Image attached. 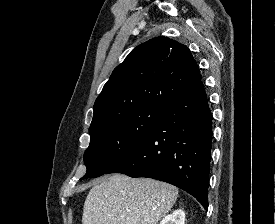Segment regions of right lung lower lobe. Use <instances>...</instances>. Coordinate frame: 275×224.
Segmentation results:
<instances>
[{"label":"right lung lower lobe","mask_w":275,"mask_h":224,"mask_svg":"<svg viewBox=\"0 0 275 224\" xmlns=\"http://www.w3.org/2000/svg\"><path fill=\"white\" fill-rule=\"evenodd\" d=\"M212 114L202 81L166 109L150 134L107 173L175 185L208 209Z\"/></svg>","instance_id":"obj_1"}]
</instances>
